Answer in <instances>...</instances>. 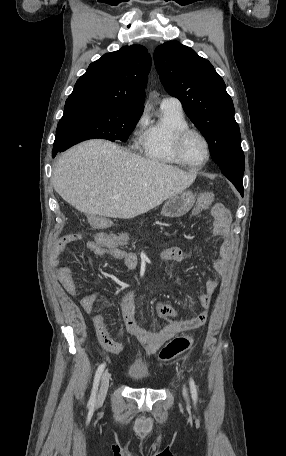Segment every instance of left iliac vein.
<instances>
[{"mask_svg": "<svg viewBox=\"0 0 286 456\" xmlns=\"http://www.w3.org/2000/svg\"><path fill=\"white\" fill-rule=\"evenodd\" d=\"M182 394H183V397L185 399V401L187 403H189V396H188V390L186 388V386L184 385L183 388H182Z\"/></svg>", "mask_w": 286, "mask_h": 456, "instance_id": "left-iliac-vein-1", "label": "left iliac vein"}]
</instances>
